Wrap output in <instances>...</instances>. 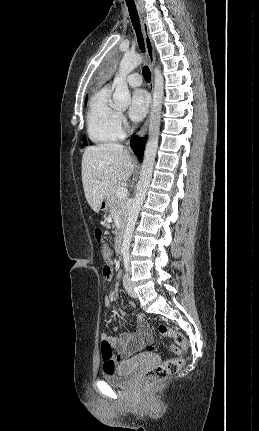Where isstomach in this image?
I'll use <instances>...</instances> for the list:
<instances>
[{"mask_svg":"<svg viewBox=\"0 0 259 431\" xmlns=\"http://www.w3.org/2000/svg\"><path fill=\"white\" fill-rule=\"evenodd\" d=\"M108 205H109V202H108V197H107L106 199H104V200L101 202V204H100V206H99V209H101V210H106V209L108 208Z\"/></svg>","mask_w":259,"mask_h":431,"instance_id":"obj_1","label":"stomach"}]
</instances>
